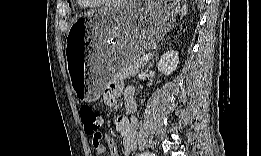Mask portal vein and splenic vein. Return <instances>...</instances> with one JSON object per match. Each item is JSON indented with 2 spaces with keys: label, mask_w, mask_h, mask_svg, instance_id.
Returning <instances> with one entry per match:
<instances>
[{
  "label": "portal vein and splenic vein",
  "mask_w": 261,
  "mask_h": 156,
  "mask_svg": "<svg viewBox=\"0 0 261 156\" xmlns=\"http://www.w3.org/2000/svg\"><path fill=\"white\" fill-rule=\"evenodd\" d=\"M153 56L152 53L143 55L141 58H139L140 61H148Z\"/></svg>",
  "instance_id": "1"
}]
</instances>
